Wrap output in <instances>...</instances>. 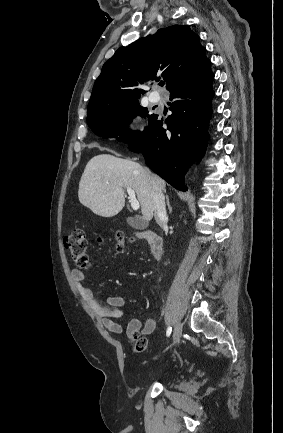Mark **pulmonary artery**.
<instances>
[{"instance_id": "e3ab8cb5", "label": "pulmonary artery", "mask_w": 283, "mask_h": 433, "mask_svg": "<svg viewBox=\"0 0 283 433\" xmlns=\"http://www.w3.org/2000/svg\"><path fill=\"white\" fill-rule=\"evenodd\" d=\"M149 100L153 104H158L160 102V100H161V97L158 96V95L149 94Z\"/></svg>"}]
</instances>
